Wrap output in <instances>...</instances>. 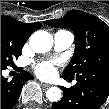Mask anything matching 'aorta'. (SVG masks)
Instances as JSON below:
<instances>
[{
	"mask_svg": "<svg viewBox=\"0 0 109 109\" xmlns=\"http://www.w3.org/2000/svg\"><path fill=\"white\" fill-rule=\"evenodd\" d=\"M30 47L37 53H45L53 46V37L50 33L38 30L30 37ZM62 91L58 87H51L46 92V97L50 102H58L61 99Z\"/></svg>",
	"mask_w": 109,
	"mask_h": 109,
	"instance_id": "aorta-1",
	"label": "aorta"
}]
</instances>
